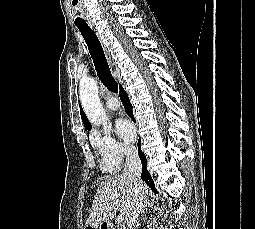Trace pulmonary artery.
I'll return each instance as SVG.
<instances>
[{"label":"pulmonary artery","mask_w":255,"mask_h":229,"mask_svg":"<svg viewBox=\"0 0 255 229\" xmlns=\"http://www.w3.org/2000/svg\"><path fill=\"white\" fill-rule=\"evenodd\" d=\"M106 105H107L108 109L115 111L119 108L120 103L116 98L109 97L106 101Z\"/></svg>","instance_id":"obj_1"}]
</instances>
